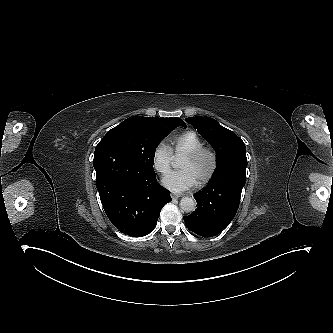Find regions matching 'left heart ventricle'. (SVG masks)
<instances>
[{
  "label": "left heart ventricle",
  "instance_id": "b2bd125f",
  "mask_svg": "<svg viewBox=\"0 0 333 333\" xmlns=\"http://www.w3.org/2000/svg\"><path fill=\"white\" fill-rule=\"evenodd\" d=\"M206 165H207L206 159H202L195 164L185 163L183 165V167L189 171V173L192 175V177H195V176L201 174L205 170Z\"/></svg>",
  "mask_w": 333,
  "mask_h": 333
}]
</instances>
